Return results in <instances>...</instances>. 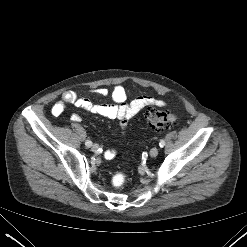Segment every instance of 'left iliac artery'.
<instances>
[{"label": "left iliac artery", "mask_w": 247, "mask_h": 247, "mask_svg": "<svg viewBox=\"0 0 247 247\" xmlns=\"http://www.w3.org/2000/svg\"><path fill=\"white\" fill-rule=\"evenodd\" d=\"M159 146H160L161 148L165 146V141H164L163 139L160 140Z\"/></svg>", "instance_id": "left-iliac-artery-1"}]
</instances>
